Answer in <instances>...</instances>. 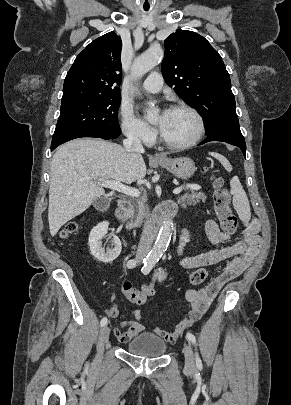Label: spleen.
<instances>
[{
  "label": "spleen",
  "mask_w": 291,
  "mask_h": 405,
  "mask_svg": "<svg viewBox=\"0 0 291 405\" xmlns=\"http://www.w3.org/2000/svg\"><path fill=\"white\" fill-rule=\"evenodd\" d=\"M223 165L226 171L231 172L232 166L230 162L221 154L212 152L210 153ZM230 193L233 196V206L237 211L240 219L244 222H247L250 217V205L246 195L245 190L243 189L240 180L237 176H234L230 181Z\"/></svg>",
  "instance_id": "obj_1"
}]
</instances>
